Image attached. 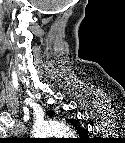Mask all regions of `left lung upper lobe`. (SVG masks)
<instances>
[{"instance_id":"1","label":"left lung upper lobe","mask_w":125,"mask_h":143,"mask_svg":"<svg viewBox=\"0 0 125 143\" xmlns=\"http://www.w3.org/2000/svg\"><path fill=\"white\" fill-rule=\"evenodd\" d=\"M55 113L54 112H50V113H47V115H54ZM77 129V132L79 133V134H81L82 132H84L85 130L83 129V128H76Z\"/></svg>"}]
</instances>
